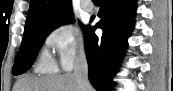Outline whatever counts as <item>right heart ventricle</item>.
Segmentation results:
<instances>
[{"label":"right heart ventricle","instance_id":"1","mask_svg":"<svg viewBox=\"0 0 173 91\" xmlns=\"http://www.w3.org/2000/svg\"><path fill=\"white\" fill-rule=\"evenodd\" d=\"M36 70L39 72H53L55 70V63L47 52L41 54L36 65Z\"/></svg>","mask_w":173,"mask_h":91}]
</instances>
